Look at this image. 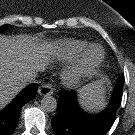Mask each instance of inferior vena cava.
Segmentation results:
<instances>
[{"label": "inferior vena cava", "instance_id": "602c4592", "mask_svg": "<svg viewBox=\"0 0 135 135\" xmlns=\"http://www.w3.org/2000/svg\"><path fill=\"white\" fill-rule=\"evenodd\" d=\"M36 75V72H28V74L25 77V82L29 84L37 83Z\"/></svg>", "mask_w": 135, "mask_h": 135}]
</instances>
